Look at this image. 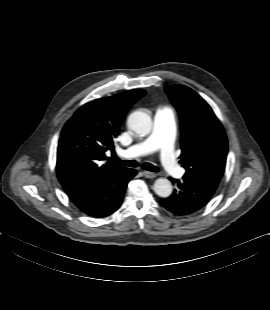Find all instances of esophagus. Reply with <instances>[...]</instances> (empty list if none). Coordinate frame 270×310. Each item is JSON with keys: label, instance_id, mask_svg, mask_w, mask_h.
<instances>
[{"label": "esophagus", "instance_id": "esophagus-1", "mask_svg": "<svg viewBox=\"0 0 270 310\" xmlns=\"http://www.w3.org/2000/svg\"><path fill=\"white\" fill-rule=\"evenodd\" d=\"M143 175L146 177V178H155L157 176L156 173L154 172H149V171H143Z\"/></svg>", "mask_w": 270, "mask_h": 310}]
</instances>
